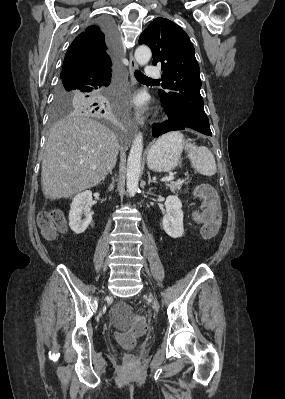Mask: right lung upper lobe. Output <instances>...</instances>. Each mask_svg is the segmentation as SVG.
Returning <instances> with one entry per match:
<instances>
[{
  "mask_svg": "<svg viewBox=\"0 0 285 399\" xmlns=\"http://www.w3.org/2000/svg\"><path fill=\"white\" fill-rule=\"evenodd\" d=\"M112 50L98 24L87 27L80 33L69 47L60 76L83 66L90 68H106L111 65Z\"/></svg>",
  "mask_w": 285,
  "mask_h": 399,
  "instance_id": "1",
  "label": "right lung upper lobe"
}]
</instances>
